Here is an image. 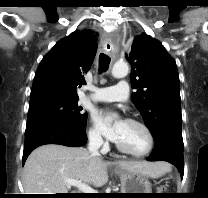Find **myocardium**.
Returning a JSON list of instances; mask_svg holds the SVG:
<instances>
[{"instance_id": "obj_1", "label": "myocardium", "mask_w": 208, "mask_h": 198, "mask_svg": "<svg viewBox=\"0 0 208 198\" xmlns=\"http://www.w3.org/2000/svg\"><path fill=\"white\" fill-rule=\"evenodd\" d=\"M126 122L136 125L144 131V133L146 134L147 139H148V146L142 152H134V151H131V150L127 149L126 147L122 146L118 142H116L115 145H116L117 149L124 154H127L132 157H136V158H142V157L149 155L155 147V137H154L152 130L144 122L139 121L137 119L128 118L126 120Z\"/></svg>"}]
</instances>
